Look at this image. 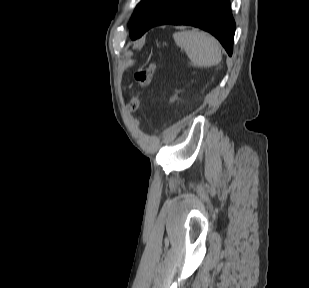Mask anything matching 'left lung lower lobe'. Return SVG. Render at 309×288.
<instances>
[{"instance_id": "0a47b994", "label": "left lung lower lobe", "mask_w": 309, "mask_h": 288, "mask_svg": "<svg viewBox=\"0 0 309 288\" xmlns=\"http://www.w3.org/2000/svg\"><path fill=\"white\" fill-rule=\"evenodd\" d=\"M163 24L191 25L208 31L232 55L235 22L230 0H160L131 39L136 40L150 28Z\"/></svg>"}]
</instances>
